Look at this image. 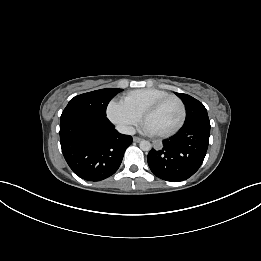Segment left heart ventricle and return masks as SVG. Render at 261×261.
Listing matches in <instances>:
<instances>
[{
    "instance_id": "obj_1",
    "label": "left heart ventricle",
    "mask_w": 261,
    "mask_h": 261,
    "mask_svg": "<svg viewBox=\"0 0 261 261\" xmlns=\"http://www.w3.org/2000/svg\"><path fill=\"white\" fill-rule=\"evenodd\" d=\"M180 116L179 104L175 100H169L148 116L145 125L154 133L166 132L176 126Z\"/></svg>"
}]
</instances>
